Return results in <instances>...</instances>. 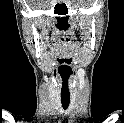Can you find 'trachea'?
I'll return each mask as SVG.
<instances>
[{
	"instance_id": "3493384b",
	"label": "trachea",
	"mask_w": 124,
	"mask_h": 123,
	"mask_svg": "<svg viewBox=\"0 0 124 123\" xmlns=\"http://www.w3.org/2000/svg\"><path fill=\"white\" fill-rule=\"evenodd\" d=\"M61 104L64 110H66L69 107L70 104V97H61Z\"/></svg>"
}]
</instances>
